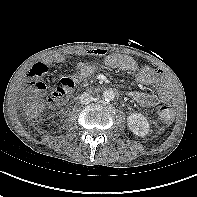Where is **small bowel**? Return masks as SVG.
Segmentation results:
<instances>
[{"label":"small bowel","instance_id":"1","mask_svg":"<svg viewBox=\"0 0 197 197\" xmlns=\"http://www.w3.org/2000/svg\"><path fill=\"white\" fill-rule=\"evenodd\" d=\"M77 56L102 57L104 56V64L111 69H117L135 76L138 83L142 85L156 84L159 88L158 95L131 91L130 97L143 107H153L159 102L171 101L173 97V86L163 78L162 71L154 69L149 66H139L136 61L127 55L123 54H107L101 49H87L78 50L72 53ZM66 61L64 55H56L54 57L46 58L41 62L35 64L29 70V76L37 78L44 76L49 71L51 63L62 64ZM99 66L95 62H79L77 64V73L72 77L74 82H79L85 78L92 76ZM32 81L30 85L33 83Z\"/></svg>","mask_w":197,"mask_h":197}]
</instances>
